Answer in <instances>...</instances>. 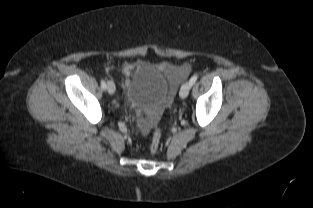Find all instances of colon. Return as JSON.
Here are the masks:
<instances>
[{
	"instance_id": "5ec220e1",
	"label": "colon",
	"mask_w": 313,
	"mask_h": 208,
	"mask_svg": "<svg viewBox=\"0 0 313 208\" xmlns=\"http://www.w3.org/2000/svg\"><path fill=\"white\" fill-rule=\"evenodd\" d=\"M160 144H161V131L159 128H156L149 145V152L151 154H155L159 150Z\"/></svg>"
}]
</instances>
